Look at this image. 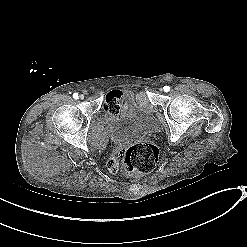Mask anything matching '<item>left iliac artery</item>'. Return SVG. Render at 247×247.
I'll use <instances>...</instances> for the list:
<instances>
[{
    "label": "left iliac artery",
    "instance_id": "1",
    "mask_svg": "<svg viewBox=\"0 0 247 247\" xmlns=\"http://www.w3.org/2000/svg\"><path fill=\"white\" fill-rule=\"evenodd\" d=\"M163 90H164L165 92H168V91L170 90V87H169V86H164V87H163Z\"/></svg>",
    "mask_w": 247,
    "mask_h": 247
}]
</instances>
